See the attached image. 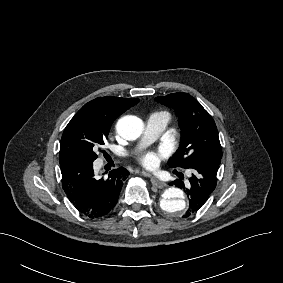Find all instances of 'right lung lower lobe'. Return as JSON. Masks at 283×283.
Returning a JSON list of instances; mask_svg holds the SVG:
<instances>
[{
	"label": "right lung lower lobe",
	"mask_w": 283,
	"mask_h": 283,
	"mask_svg": "<svg viewBox=\"0 0 283 283\" xmlns=\"http://www.w3.org/2000/svg\"><path fill=\"white\" fill-rule=\"evenodd\" d=\"M62 187L79 213L90 219L109 214L115 207L129 172L120 167L109 172L107 179L94 176L93 162L72 160L60 164Z\"/></svg>",
	"instance_id": "obj_1"
}]
</instances>
